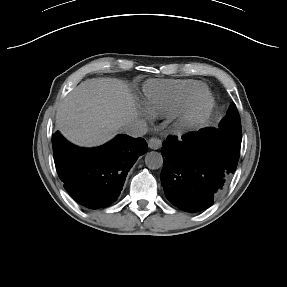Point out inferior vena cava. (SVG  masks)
I'll list each match as a JSON object with an SVG mask.
<instances>
[{"label": "inferior vena cava", "mask_w": 287, "mask_h": 287, "mask_svg": "<svg viewBox=\"0 0 287 287\" xmlns=\"http://www.w3.org/2000/svg\"><path fill=\"white\" fill-rule=\"evenodd\" d=\"M123 132L130 137H142L148 132L147 123L143 119H133L127 122L123 128Z\"/></svg>", "instance_id": "obj_1"}]
</instances>
